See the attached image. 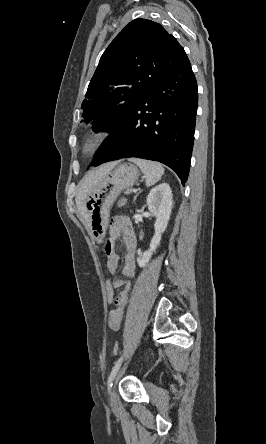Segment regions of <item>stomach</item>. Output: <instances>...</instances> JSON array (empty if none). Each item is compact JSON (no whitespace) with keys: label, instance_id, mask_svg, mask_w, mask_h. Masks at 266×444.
Segmentation results:
<instances>
[{"label":"stomach","instance_id":"obj_1","mask_svg":"<svg viewBox=\"0 0 266 444\" xmlns=\"http://www.w3.org/2000/svg\"><path fill=\"white\" fill-rule=\"evenodd\" d=\"M140 175L131 163L119 164L90 192L84 202L86 224L92 236L101 240L105 234L109 212L120 192L133 186Z\"/></svg>","mask_w":266,"mask_h":444}]
</instances>
